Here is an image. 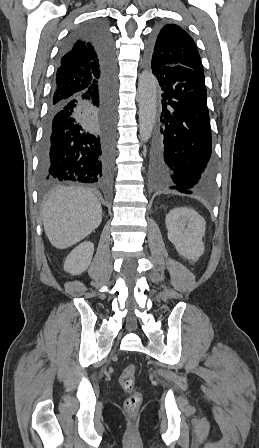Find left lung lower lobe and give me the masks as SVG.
<instances>
[{
	"label": "left lung lower lobe",
	"instance_id": "0a47b994",
	"mask_svg": "<svg viewBox=\"0 0 259 448\" xmlns=\"http://www.w3.org/2000/svg\"><path fill=\"white\" fill-rule=\"evenodd\" d=\"M151 68L163 91L151 154L152 186L208 194L214 188L216 163L204 73L179 65Z\"/></svg>",
	"mask_w": 259,
	"mask_h": 448
}]
</instances>
